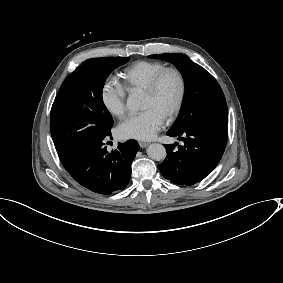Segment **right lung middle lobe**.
Listing matches in <instances>:
<instances>
[{
    "instance_id": "obj_1",
    "label": "right lung middle lobe",
    "mask_w": 283,
    "mask_h": 283,
    "mask_svg": "<svg viewBox=\"0 0 283 283\" xmlns=\"http://www.w3.org/2000/svg\"><path fill=\"white\" fill-rule=\"evenodd\" d=\"M129 58L103 57L83 62L62 83L50 116L51 135L60 159L86 141L106 136L113 119L102 99L106 78Z\"/></svg>"
}]
</instances>
